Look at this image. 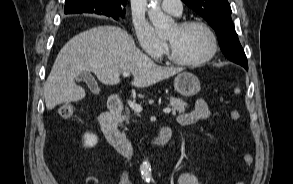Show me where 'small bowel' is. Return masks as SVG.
<instances>
[{"label": "small bowel", "instance_id": "small-bowel-1", "mask_svg": "<svg viewBox=\"0 0 293 184\" xmlns=\"http://www.w3.org/2000/svg\"><path fill=\"white\" fill-rule=\"evenodd\" d=\"M211 112L206 102L202 99L196 101L194 108L187 113L179 115L178 121L182 125H191L199 120H210ZM179 184H202L193 174L185 172L178 178ZM119 184H132L129 180L128 173L125 171L121 174Z\"/></svg>", "mask_w": 293, "mask_h": 184}]
</instances>
